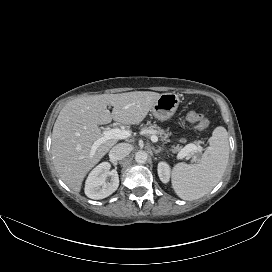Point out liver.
<instances>
[{"mask_svg": "<svg viewBox=\"0 0 272 272\" xmlns=\"http://www.w3.org/2000/svg\"><path fill=\"white\" fill-rule=\"evenodd\" d=\"M160 96L151 91H133L69 101L60 111L52 132L53 163L61 179L79 193L86 174L117 143V139L106 140L91 153L95 141L103 136L98 125L112 120L124 125L139 124ZM107 105L113 106L112 112Z\"/></svg>", "mask_w": 272, "mask_h": 272, "instance_id": "1", "label": "liver"}]
</instances>
